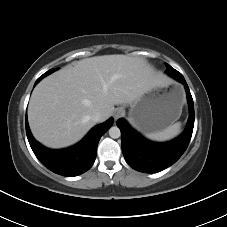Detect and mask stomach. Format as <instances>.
<instances>
[{"instance_id": "1", "label": "stomach", "mask_w": 227, "mask_h": 227, "mask_svg": "<svg viewBox=\"0 0 227 227\" xmlns=\"http://www.w3.org/2000/svg\"><path fill=\"white\" fill-rule=\"evenodd\" d=\"M183 104L184 93L180 87L169 90L154 87L131 104L128 120L142 132H157L180 117Z\"/></svg>"}]
</instances>
